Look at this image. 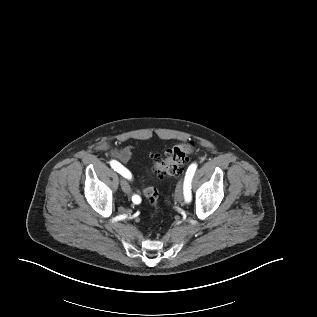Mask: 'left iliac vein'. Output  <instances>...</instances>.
Masks as SVG:
<instances>
[{
	"mask_svg": "<svg viewBox=\"0 0 317 317\" xmlns=\"http://www.w3.org/2000/svg\"><path fill=\"white\" fill-rule=\"evenodd\" d=\"M175 198L178 202H182L184 200V185L183 180H181L176 187Z\"/></svg>",
	"mask_w": 317,
	"mask_h": 317,
	"instance_id": "1",
	"label": "left iliac vein"
}]
</instances>
